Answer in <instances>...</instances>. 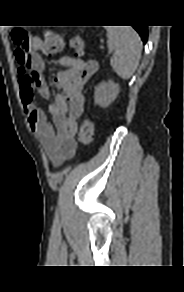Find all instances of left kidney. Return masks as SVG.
<instances>
[{
    "label": "left kidney",
    "instance_id": "5707ae66",
    "mask_svg": "<svg viewBox=\"0 0 184 292\" xmlns=\"http://www.w3.org/2000/svg\"><path fill=\"white\" fill-rule=\"evenodd\" d=\"M120 87L113 81L101 82L95 87L94 101L101 107H108L118 96Z\"/></svg>",
    "mask_w": 184,
    "mask_h": 292
}]
</instances>
